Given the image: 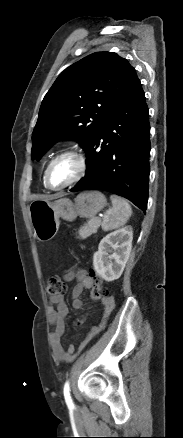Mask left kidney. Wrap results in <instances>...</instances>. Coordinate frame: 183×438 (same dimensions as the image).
I'll return each mask as SVG.
<instances>
[{"mask_svg":"<svg viewBox=\"0 0 183 438\" xmlns=\"http://www.w3.org/2000/svg\"><path fill=\"white\" fill-rule=\"evenodd\" d=\"M132 240L133 231L130 227L111 232L101 240L98 251L93 256V266L105 281H114L122 275L129 259Z\"/></svg>","mask_w":183,"mask_h":438,"instance_id":"1","label":"left kidney"}]
</instances>
